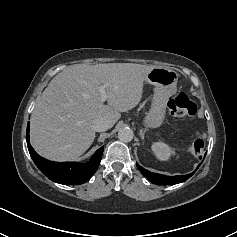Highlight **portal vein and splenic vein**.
<instances>
[{"label": "portal vein and splenic vein", "instance_id": "obj_1", "mask_svg": "<svg viewBox=\"0 0 237 237\" xmlns=\"http://www.w3.org/2000/svg\"><path fill=\"white\" fill-rule=\"evenodd\" d=\"M106 87H107V85H101L98 88V90L100 92V100L102 103H104L107 100Z\"/></svg>", "mask_w": 237, "mask_h": 237}]
</instances>
